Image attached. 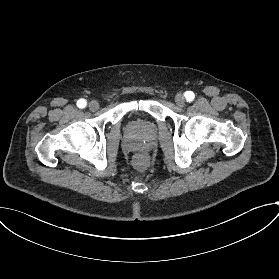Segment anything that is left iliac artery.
<instances>
[{
    "mask_svg": "<svg viewBox=\"0 0 279 279\" xmlns=\"http://www.w3.org/2000/svg\"><path fill=\"white\" fill-rule=\"evenodd\" d=\"M184 96H185L187 102H191L195 98V95H194V93L192 91H186Z\"/></svg>",
    "mask_w": 279,
    "mask_h": 279,
    "instance_id": "obj_1",
    "label": "left iliac artery"
}]
</instances>
